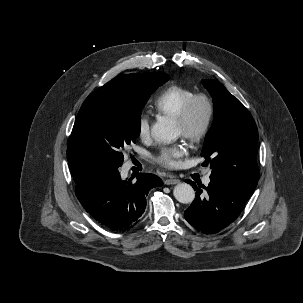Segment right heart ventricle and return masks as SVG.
I'll use <instances>...</instances> for the list:
<instances>
[{
  "mask_svg": "<svg viewBox=\"0 0 303 303\" xmlns=\"http://www.w3.org/2000/svg\"><path fill=\"white\" fill-rule=\"evenodd\" d=\"M193 95L195 92L191 89L180 85H170L156 98L155 110L161 115L176 118Z\"/></svg>",
  "mask_w": 303,
  "mask_h": 303,
  "instance_id": "1",
  "label": "right heart ventricle"
}]
</instances>
